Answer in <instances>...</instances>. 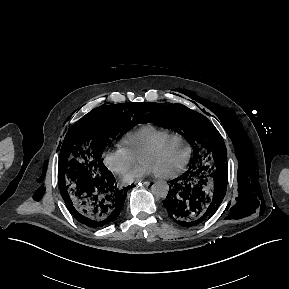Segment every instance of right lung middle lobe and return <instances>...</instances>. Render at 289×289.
Listing matches in <instances>:
<instances>
[{
  "mask_svg": "<svg viewBox=\"0 0 289 289\" xmlns=\"http://www.w3.org/2000/svg\"><path fill=\"white\" fill-rule=\"evenodd\" d=\"M141 104L130 102L96 108L70 128L58 162L61 193L108 171L102 161L104 147L111 137L122 135L139 123L134 116Z\"/></svg>",
  "mask_w": 289,
  "mask_h": 289,
  "instance_id": "obj_1",
  "label": "right lung middle lobe"
}]
</instances>
